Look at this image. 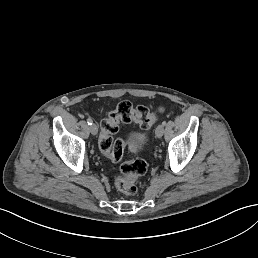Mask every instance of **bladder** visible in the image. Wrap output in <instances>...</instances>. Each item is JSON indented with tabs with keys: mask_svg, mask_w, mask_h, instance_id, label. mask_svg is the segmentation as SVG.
I'll list each match as a JSON object with an SVG mask.
<instances>
[{
	"mask_svg": "<svg viewBox=\"0 0 258 258\" xmlns=\"http://www.w3.org/2000/svg\"><path fill=\"white\" fill-rule=\"evenodd\" d=\"M145 142V135L144 134H136L133 137L132 143L136 146V147H140L144 144Z\"/></svg>",
	"mask_w": 258,
	"mask_h": 258,
	"instance_id": "1",
	"label": "bladder"
}]
</instances>
